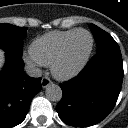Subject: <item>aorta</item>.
Wrapping results in <instances>:
<instances>
[{
  "label": "aorta",
  "mask_w": 128,
  "mask_h": 128,
  "mask_svg": "<svg viewBox=\"0 0 128 128\" xmlns=\"http://www.w3.org/2000/svg\"><path fill=\"white\" fill-rule=\"evenodd\" d=\"M46 97L48 100L53 102H58L62 98V90L61 88L56 84H49L46 87Z\"/></svg>",
  "instance_id": "obj_1"
}]
</instances>
